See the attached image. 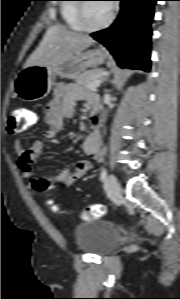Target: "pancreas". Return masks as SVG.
Segmentation results:
<instances>
[{
  "instance_id": "cf45deb5",
  "label": "pancreas",
  "mask_w": 180,
  "mask_h": 299,
  "mask_svg": "<svg viewBox=\"0 0 180 299\" xmlns=\"http://www.w3.org/2000/svg\"><path fill=\"white\" fill-rule=\"evenodd\" d=\"M103 73H104L103 69H93V70L85 71L75 78V86L89 89L88 85Z\"/></svg>"
}]
</instances>
